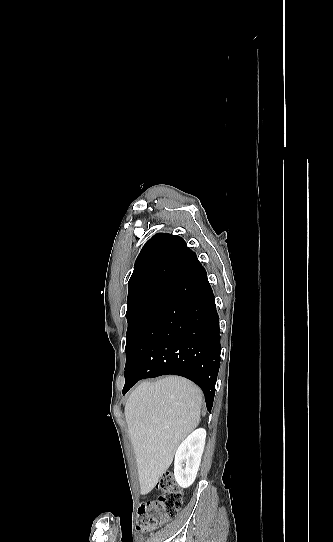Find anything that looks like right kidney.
<instances>
[{
    "label": "right kidney",
    "instance_id": "1",
    "mask_svg": "<svg viewBox=\"0 0 333 542\" xmlns=\"http://www.w3.org/2000/svg\"><path fill=\"white\" fill-rule=\"evenodd\" d=\"M205 438V430L198 428L180 444L174 460V476L180 488H189L195 482L205 446Z\"/></svg>",
    "mask_w": 333,
    "mask_h": 542
}]
</instances>
